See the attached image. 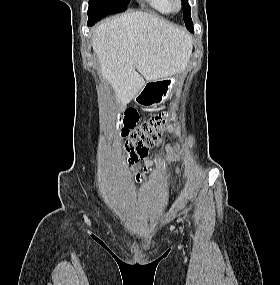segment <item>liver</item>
Wrapping results in <instances>:
<instances>
[{"label":"liver","mask_w":280,"mask_h":285,"mask_svg":"<svg viewBox=\"0 0 280 285\" xmlns=\"http://www.w3.org/2000/svg\"><path fill=\"white\" fill-rule=\"evenodd\" d=\"M92 47L102 78L116 98L129 103L145 81L171 77L184 67L192 53V38L154 15L136 11L95 27Z\"/></svg>","instance_id":"liver-1"}]
</instances>
